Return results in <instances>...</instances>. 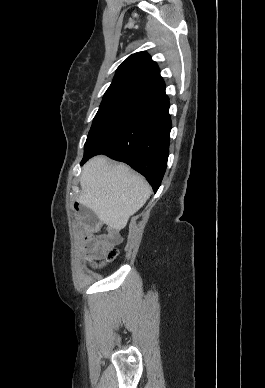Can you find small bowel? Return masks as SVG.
I'll return each instance as SVG.
<instances>
[{
  "label": "small bowel",
  "instance_id": "small-bowel-1",
  "mask_svg": "<svg viewBox=\"0 0 265 388\" xmlns=\"http://www.w3.org/2000/svg\"><path fill=\"white\" fill-rule=\"evenodd\" d=\"M84 226L89 236L83 249L89 252V258L92 260L102 258L119 239L117 227L114 225L108 226L107 235L104 238L94 237L93 235L101 230L103 224L93 215L85 216Z\"/></svg>",
  "mask_w": 265,
  "mask_h": 388
}]
</instances>
